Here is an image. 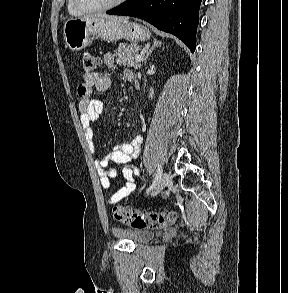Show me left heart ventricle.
Segmentation results:
<instances>
[{"label":"left heart ventricle","mask_w":288,"mask_h":293,"mask_svg":"<svg viewBox=\"0 0 288 293\" xmlns=\"http://www.w3.org/2000/svg\"><path fill=\"white\" fill-rule=\"evenodd\" d=\"M82 4L88 7H96L109 4L115 0H80Z\"/></svg>","instance_id":"1"}]
</instances>
